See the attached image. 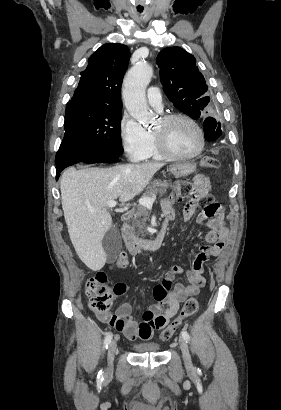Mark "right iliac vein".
I'll use <instances>...</instances> for the list:
<instances>
[{"label": "right iliac vein", "mask_w": 281, "mask_h": 410, "mask_svg": "<svg viewBox=\"0 0 281 410\" xmlns=\"http://www.w3.org/2000/svg\"><path fill=\"white\" fill-rule=\"evenodd\" d=\"M117 344L116 341H111L108 347V368H107V374L110 375L113 372V361H114V355L116 352Z\"/></svg>", "instance_id": "right-iliac-vein-1"}]
</instances>
